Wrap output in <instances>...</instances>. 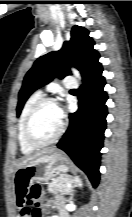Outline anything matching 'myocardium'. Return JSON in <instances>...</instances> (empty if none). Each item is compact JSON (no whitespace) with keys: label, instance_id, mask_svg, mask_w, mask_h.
<instances>
[{"label":"myocardium","instance_id":"f54148a6","mask_svg":"<svg viewBox=\"0 0 132 217\" xmlns=\"http://www.w3.org/2000/svg\"><path fill=\"white\" fill-rule=\"evenodd\" d=\"M47 104H53L55 106H57L56 101L53 98H41L31 109V111L29 112L25 124H24V138L25 141L32 147L34 148H43V147H47L49 145H52L54 143H56L62 136L63 132H64V128H65V123L63 118H61V123H60V127L58 132L56 133V135L51 138L48 141L45 142H41L38 141L32 134V130H31V126H32V122L34 117L36 116V114L38 113V111L45 105Z\"/></svg>","mask_w":132,"mask_h":217}]
</instances>
